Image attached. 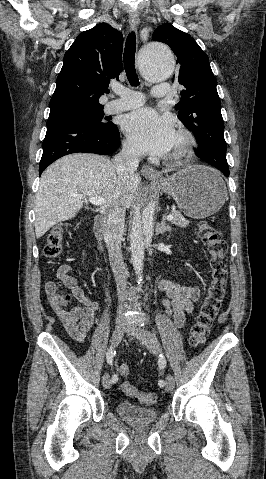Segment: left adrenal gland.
Segmentation results:
<instances>
[{
    "label": "left adrenal gland",
    "instance_id": "obj_1",
    "mask_svg": "<svg viewBox=\"0 0 266 479\" xmlns=\"http://www.w3.org/2000/svg\"><path fill=\"white\" fill-rule=\"evenodd\" d=\"M172 228L169 225H166V218L163 217L159 227L157 229V233L164 234L165 232H171Z\"/></svg>",
    "mask_w": 266,
    "mask_h": 479
}]
</instances>
